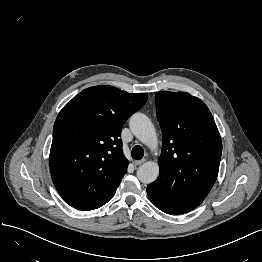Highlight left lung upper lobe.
<instances>
[{
	"label": "left lung upper lobe",
	"mask_w": 262,
	"mask_h": 262,
	"mask_svg": "<svg viewBox=\"0 0 262 262\" xmlns=\"http://www.w3.org/2000/svg\"><path fill=\"white\" fill-rule=\"evenodd\" d=\"M163 137L160 174L149 184L150 199L177 214L199 206L218 175L222 141L208 107L186 92L155 94Z\"/></svg>",
	"instance_id": "5c2ea615"
}]
</instances>
